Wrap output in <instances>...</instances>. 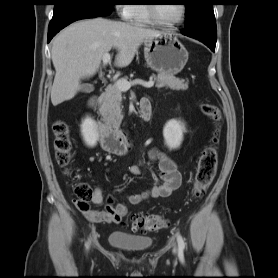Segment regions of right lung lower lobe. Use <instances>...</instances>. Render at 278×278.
Masks as SVG:
<instances>
[{"label":"right lung lower lobe","instance_id":"obj_1","mask_svg":"<svg viewBox=\"0 0 278 278\" xmlns=\"http://www.w3.org/2000/svg\"><path fill=\"white\" fill-rule=\"evenodd\" d=\"M98 16L99 15L81 11H74L63 14L57 20L50 22L48 28V42L52 39L53 36L56 35V33H58L61 29H63L70 23L80 19L95 18Z\"/></svg>","mask_w":278,"mask_h":278}]
</instances>
